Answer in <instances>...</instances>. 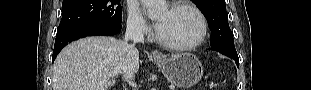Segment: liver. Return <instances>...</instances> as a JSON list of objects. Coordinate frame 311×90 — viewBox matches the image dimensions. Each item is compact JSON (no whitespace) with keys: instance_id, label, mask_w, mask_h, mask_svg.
<instances>
[{"instance_id":"6515ba94","label":"liver","mask_w":311,"mask_h":90,"mask_svg":"<svg viewBox=\"0 0 311 90\" xmlns=\"http://www.w3.org/2000/svg\"><path fill=\"white\" fill-rule=\"evenodd\" d=\"M139 52L111 37H87L66 46L53 66V90H109L119 74L136 73Z\"/></svg>"}]
</instances>
